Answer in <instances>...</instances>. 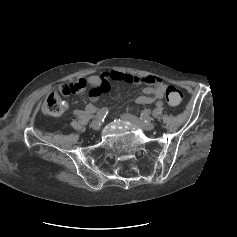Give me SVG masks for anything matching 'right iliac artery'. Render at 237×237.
I'll list each match as a JSON object with an SVG mask.
<instances>
[{
    "mask_svg": "<svg viewBox=\"0 0 237 237\" xmlns=\"http://www.w3.org/2000/svg\"><path fill=\"white\" fill-rule=\"evenodd\" d=\"M73 114L78 116L79 118H91V117H96L98 119H104L107 114H108V109L106 107L102 108L99 110L95 116L92 114L88 113L87 111H82V110H74Z\"/></svg>",
    "mask_w": 237,
    "mask_h": 237,
    "instance_id": "right-iliac-artery-1",
    "label": "right iliac artery"
}]
</instances>
